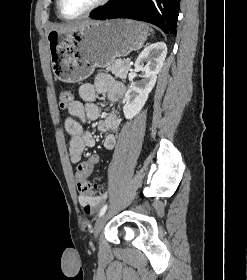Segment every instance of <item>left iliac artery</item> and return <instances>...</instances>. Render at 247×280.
Returning a JSON list of instances; mask_svg holds the SVG:
<instances>
[{"instance_id":"1","label":"left iliac artery","mask_w":247,"mask_h":280,"mask_svg":"<svg viewBox=\"0 0 247 280\" xmlns=\"http://www.w3.org/2000/svg\"><path fill=\"white\" fill-rule=\"evenodd\" d=\"M108 205L105 204L99 212V217H101L107 210Z\"/></svg>"}]
</instances>
